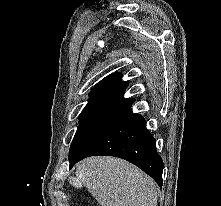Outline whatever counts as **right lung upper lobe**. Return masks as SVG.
<instances>
[{
    "label": "right lung upper lobe",
    "instance_id": "1",
    "mask_svg": "<svg viewBox=\"0 0 221 206\" xmlns=\"http://www.w3.org/2000/svg\"><path fill=\"white\" fill-rule=\"evenodd\" d=\"M121 78L120 73H112L101 80L89 93L90 99L85 108L97 106L130 108L135 100L123 97L128 83Z\"/></svg>",
    "mask_w": 221,
    "mask_h": 206
}]
</instances>
